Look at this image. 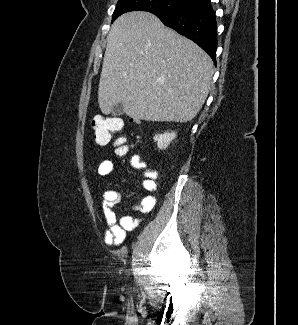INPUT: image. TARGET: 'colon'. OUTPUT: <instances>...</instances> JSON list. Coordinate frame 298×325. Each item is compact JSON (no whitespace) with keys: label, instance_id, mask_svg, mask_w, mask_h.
Segmentation results:
<instances>
[{"label":"colon","instance_id":"obj_1","mask_svg":"<svg viewBox=\"0 0 298 325\" xmlns=\"http://www.w3.org/2000/svg\"><path fill=\"white\" fill-rule=\"evenodd\" d=\"M123 122L119 118L108 117L104 115L96 116L92 121V129L95 142L99 145L108 144L114 133L121 130ZM122 140H119L117 152L119 155H125L128 151L126 146L122 145ZM134 166L140 169L146 168V163L139 157L133 158Z\"/></svg>","mask_w":298,"mask_h":325}]
</instances>
